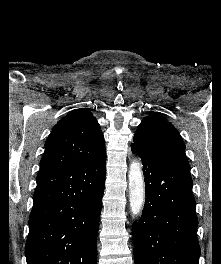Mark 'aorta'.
Segmentation results:
<instances>
[{
  "instance_id": "1",
  "label": "aorta",
  "mask_w": 221,
  "mask_h": 264,
  "mask_svg": "<svg viewBox=\"0 0 221 264\" xmlns=\"http://www.w3.org/2000/svg\"><path fill=\"white\" fill-rule=\"evenodd\" d=\"M130 209L134 216L140 215L145 202V184L141 163L134 160L128 174Z\"/></svg>"
}]
</instances>
